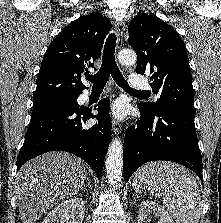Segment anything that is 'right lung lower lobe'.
Wrapping results in <instances>:
<instances>
[{
    "label": "right lung lower lobe",
    "instance_id": "1",
    "mask_svg": "<svg viewBox=\"0 0 221 223\" xmlns=\"http://www.w3.org/2000/svg\"><path fill=\"white\" fill-rule=\"evenodd\" d=\"M91 110L81 106L33 115L18 154L17 171L26 161L40 154L62 150L85 160L100 177L111 139L109 99L98 103V115H93ZM90 118H96L98 122L86 126L85 122Z\"/></svg>",
    "mask_w": 221,
    "mask_h": 223
}]
</instances>
